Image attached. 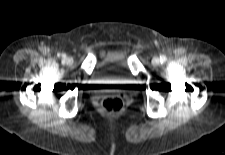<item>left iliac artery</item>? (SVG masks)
I'll use <instances>...</instances> for the list:
<instances>
[{
    "instance_id": "44dca946",
    "label": "left iliac artery",
    "mask_w": 225,
    "mask_h": 155,
    "mask_svg": "<svg viewBox=\"0 0 225 155\" xmlns=\"http://www.w3.org/2000/svg\"><path fill=\"white\" fill-rule=\"evenodd\" d=\"M160 60H161V62H164L166 60V57L165 56H161Z\"/></svg>"
}]
</instances>
